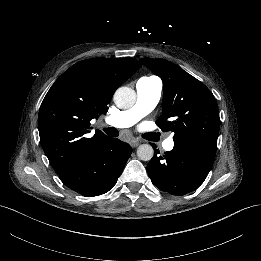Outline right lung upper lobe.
<instances>
[{
    "label": "right lung upper lobe",
    "mask_w": 261,
    "mask_h": 261,
    "mask_svg": "<svg viewBox=\"0 0 261 261\" xmlns=\"http://www.w3.org/2000/svg\"><path fill=\"white\" fill-rule=\"evenodd\" d=\"M139 67L133 58H94L76 63L55 81L41 104L38 129L42 148L58 174L107 138L99 130L88 138L90 121L106 114L115 90Z\"/></svg>",
    "instance_id": "obj_1"
}]
</instances>
